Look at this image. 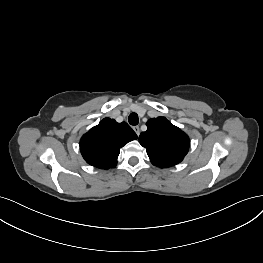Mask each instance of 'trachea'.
<instances>
[{"label":"trachea","mask_w":263,"mask_h":263,"mask_svg":"<svg viewBox=\"0 0 263 263\" xmlns=\"http://www.w3.org/2000/svg\"><path fill=\"white\" fill-rule=\"evenodd\" d=\"M128 122L130 125H137L139 123L138 115L136 113H131L128 117Z\"/></svg>","instance_id":"3493384b"}]
</instances>
